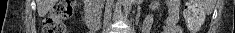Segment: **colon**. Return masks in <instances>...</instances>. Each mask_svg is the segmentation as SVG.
<instances>
[{"label": "colon", "mask_w": 235, "mask_h": 33, "mask_svg": "<svg viewBox=\"0 0 235 33\" xmlns=\"http://www.w3.org/2000/svg\"><path fill=\"white\" fill-rule=\"evenodd\" d=\"M73 14L70 0H58L44 20L42 33H66L64 20ZM184 19L188 29L195 33L202 24L204 14L196 1H188L184 7Z\"/></svg>", "instance_id": "5ec220e1"}]
</instances>
